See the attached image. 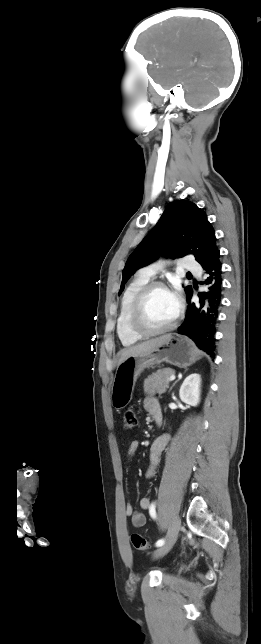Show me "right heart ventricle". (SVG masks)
Returning a JSON list of instances; mask_svg holds the SVG:
<instances>
[{"instance_id": "right-heart-ventricle-1", "label": "right heart ventricle", "mask_w": 261, "mask_h": 644, "mask_svg": "<svg viewBox=\"0 0 261 644\" xmlns=\"http://www.w3.org/2000/svg\"><path fill=\"white\" fill-rule=\"evenodd\" d=\"M149 280L150 277L139 273L133 280L129 282L123 292L117 319V335L120 342L124 346L134 345L141 340V337L137 336L131 331L129 327V317L131 306L136 294L147 282H149Z\"/></svg>"}]
</instances>
